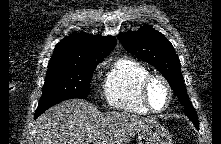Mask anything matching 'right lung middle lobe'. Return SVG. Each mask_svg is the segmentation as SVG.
Wrapping results in <instances>:
<instances>
[{
  "mask_svg": "<svg viewBox=\"0 0 221 144\" xmlns=\"http://www.w3.org/2000/svg\"><path fill=\"white\" fill-rule=\"evenodd\" d=\"M96 64L91 62L48 64L46 80L35 117L64 100L87 98Z\"/></svg>",
  "mask_w": 221,
  "mask_h": 144,
  "instance_id": "1",
  "label": "right lung middle lobe"
}]
</instances>
